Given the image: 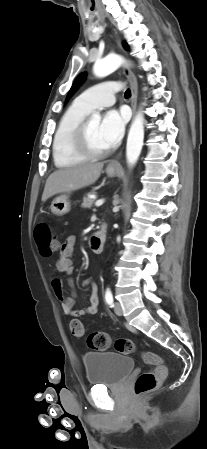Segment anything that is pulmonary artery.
I'll list each match as a JSON object with an SVG mask.
<instances>
[{"label":"pulmonary artery","instance_id":"1","mask_svg":"<svg viewBox=\"0 0 207 449\" xmlns=\"http://www.w3.org/2000/svg\"><path fill=\"white\" fill-rule=\"evenodd\" d=\"M121 84L114 81H105L93 85L82 92L75 103L89 111L109 107L115 102V93L120 91Z\"/></svg>","mask_w":207,"mask_h":449}]
</instances>
